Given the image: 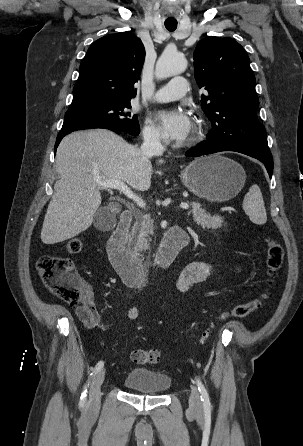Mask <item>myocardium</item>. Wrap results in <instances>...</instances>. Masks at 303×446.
<instances>
[{
  "label": "myocardium",
  "instance_id": "myocardium-1",
  "mask_svg": "<svg viewBox=\"0 0 303 446\" xmlns=\"http://www.w3.org/2000/svg\"><path fill=\"white\" fill-rule=\"evenodd\" d=\"M202 131H203L202 122L197 119L194 123L192 133L188 138V140L185 142V145L190 146L197 143L202 136Z\"/></svg>",
  "mask_w": 303,
  "mask_h": 446
}]
</instances>
